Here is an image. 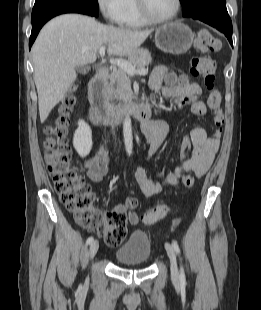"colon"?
Segmentation results:
<instances>
[{"label": "colon", "mask_w": 261, "mask_h": 310, "mask_svg": "<svg viewBox=\"0 0 261 310\" xmlns=\"http://www.w3.org/2000/svg\"><path fill=\"white\" fill-rule=\"evenodd\" d=\"M195 47L200 55L191 60V74L202 76L205 86L210 91L207 104L213 111V121L217 127L213 136L220 138L224 116L220 108L221 94L215 88L216 62L210 53L218 52L221 43L208 29L203 28L198 31ZM74 103L75 98L72 95L65 96L58 108V115L45 128L44 146L47 168L61 203L73 213L76 221L89 229H97L107 245L116 247L123 243L127 235L126 214L109 212L99 220L92 208L93 193L71 164V149L67 141V131ZM190 151V142L183 141L181 145L183 161L189 158ZM183 183L186 187H191L194 184L190 173L184 175ZM168 211L167 205H158L144 214L143 221L148 224L154 223L166 216Z\"/></svg>", "instance_id": "colon-1"}]
</instances>
